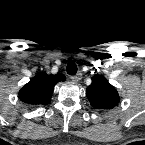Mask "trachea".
<instances>
[{"label": "trachea", "instance_id": "obj_1", "mask_svg": "<svg viewBox=\"0 0 145 145\" xmlns=\"http://www.w3.org/2000/svg\"><path fill=\"white\" fill-rule=\"evenodd\" d=\"M67 73L69 75H75L77 73V65L73 62V61H70L68 64H67Z\"/></svg>", "mask_w": 145, "mask_h": 145}]
</instances>
